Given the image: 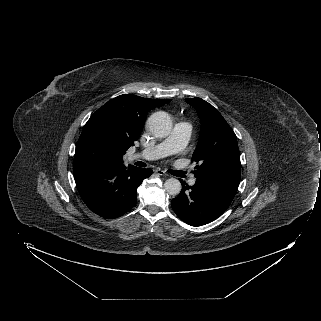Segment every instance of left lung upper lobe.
<instances>
[{
	"label": "left lung upper lobe",
	"mask_w": 321,
	"mask_h": 321,
	"mask_svg": "<svg viewBox=\"0 0 321 321\" xmlns=\"http://www.w3.org/2000/svg\"><path fill=\"white\" fill-rule=\"evenodd\" d=\"M200 118L201 130L193 160L198 163L195 177L210 174H240L241 163L237 138L223 116L201 98H188Z\"/></svg>",
	"instance_id": "1"
}]
</instances>
